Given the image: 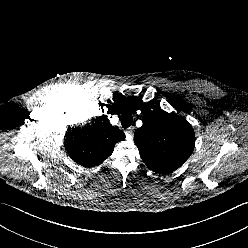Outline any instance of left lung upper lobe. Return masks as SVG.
Wrapping results in <instances>:
<instances>
[{"label":"left lung upper lobe","mask_w":248,"mask_h":248,"mask_svg":"<svg viewBox=\"0 0 248 248\" xmlns=\"http://www.w3.org/2000/svg\"><path fill=\"white\" fill-rule=\"evenodd\" d=\"M134 142L149 169L167 174L189 158L195 135L183 117L157 107L144 115L142 127L135 131Z\"/></svg>","instance_id":"obj_1"}]
</instances>
